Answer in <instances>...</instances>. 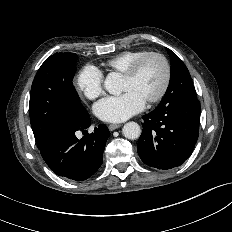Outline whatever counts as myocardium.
<instances>
[{
  "mask_svg": "<svg viewBox=\"0 0 232 232\" xmlns=\"http://www.w3.org/2000/svg\"><path fill=\"white\" fill-rule=\"evenodd\" d=\"M150 58L159 59L163 65V69H164V79H163V83H162L160 90L158 91V93L156 95H154L146 100L148 103H156V102L160 101L165 96V94L167 93L168 88L170 86V83H171V66H170V63H169L167 57L164 54H162L160 52H156V51L146 52L145 54H143L142 56L137 58L127 68V70L123 73V76L126 78H133L134 76H136V74L138 73L141 66L144 64V62Z\"/></svg>",
  "mask_w": 232,
  "mask_h": 232,
  "instance_id": "myocardium-1",
  "label": "myocardium"
}]
</instances>
